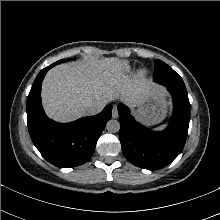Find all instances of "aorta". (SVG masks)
<instances>
[{
  "mask_svg": "<svg viewBox=\"0 0 220 220\" xmlns=\"http://www.w3.org/2000/svg\"><path fill=\"white\" fill-rule=\"evenodd\" d=\"M106 128L109 132L116 133L120 129V123L117 120H109L106 124Z\"/></svg>",
  "mask_w": 220,
  "mask_h": 220,
  "instance_id": "aorta-1",
  "label": "aorta"
}]
</instances>
